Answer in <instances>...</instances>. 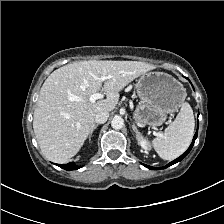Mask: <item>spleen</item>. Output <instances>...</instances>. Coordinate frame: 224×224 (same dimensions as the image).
Instances as JSON below:
<instances>
[{"mask_svg":"<svg viewBox=\"0 0 224 224\" xmlns=\"http://www.w3.org/2000/svg\"><path fill=\"white\" fill-rule=\"evenodd\" d=\"M195 120L193 110L183 103L175 120L164 133L152 141L157 154L164 160H173L182 155L189 147L194 135Z\"/></svg>","mask_w":224,"mask_h":224,"instance_id":"spleen-1","label":"spleen"}]
</instances>
